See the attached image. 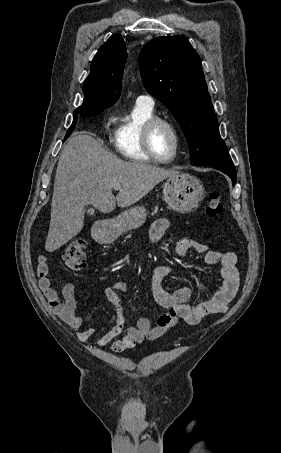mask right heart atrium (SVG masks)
Here are the masks:
<instances>
[{"mask_svg":"<svg viewBox=\"0 0 281 453\" xmlns=\"http://www.w3.org/2000/svg\"><path fill=\"white\" fill-rule=\"evenodd\" d=\"M103 129L107 132H111V127H112V110L109 109L104 116L103 122H102Z\"/></svg>","mask_w":281,"mask_h":453,"instance_id":"1","label":"right heart atrium"}]
</instances>
